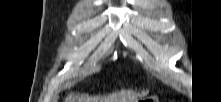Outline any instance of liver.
Here are the masks:
<instances>
[{"label":"liver","instance_id":"1","mask_svg":"<svg viewBox=\"0 0 221 102\" xmlns=\"http://www.w3.org/2000/svg\"><path fill=\"white\" fill-rule=\"evenodd\" d=\"M146 93L147 91L139 94L135 93L133 90H123L111 95L95 97H90L89 95L74 96L70 94L66 98V102H137L138 98L144 96Z\"/></svg>","mask_w":221,"mask_h":102}]
</instances>
